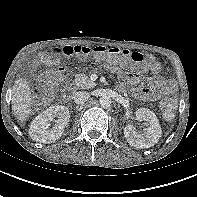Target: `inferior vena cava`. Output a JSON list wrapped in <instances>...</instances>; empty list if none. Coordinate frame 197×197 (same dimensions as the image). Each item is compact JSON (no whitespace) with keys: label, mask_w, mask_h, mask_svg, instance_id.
Listing matches in <instances>:
<instances>
[{"label":"inferior vena cava","mask_w":197,"mask_h":197,"mask_svg":"<svg viewBox=\"0 0 197 197\" xmlns=\"http://www.w3.org/2000/svg\"><path fill=\"white\" fill-rule=\"evenodd\" d=\"M90 95L86 91H78L74 94V102L78 105L84 104L88 99Z\"/></svg>","instance_id":"inferior-vena-cava-1"}]
</instances>
